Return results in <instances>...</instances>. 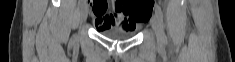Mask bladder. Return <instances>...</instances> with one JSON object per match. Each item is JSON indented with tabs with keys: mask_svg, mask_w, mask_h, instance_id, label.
Listing matches in <instances>:
<instances>
[{
	"mask_svg": "<svg viewBox=\"0 0 235 62\" xmlns=\"http://www.w3.org/2000/svg\"><path fill=\"white\" fill-rule=\"evenodd\" d=\"M99 32L107 38L113 40H127L132 38L136 30L135 29H122V28H110V29H101Z\"/></svg>",
	"mask_w": 235,
	"mask_h": 62,
	"instance_id": "bladder-1",
	"label": "bladder"
}]
</instances>
